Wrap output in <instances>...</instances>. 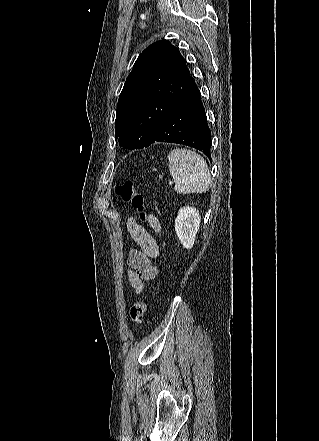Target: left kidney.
I'll return each instance as SVG.
<instances>
[{"label":"left kidney","mask_w":319,"mask_h":441,"mask_svg":"<svg viewBox=\"0 0 319 441\" xmlns=\"http://www.w3.org/2000/svg\"><path fill=\"white\" fill-rule=\"evenodd\" d=\"M200 214L196 208L185 206L179 209L175 219V231L181 244L190 249L195 242L196 234L200 227Z\"/></svg>","instance_id":"5707ae66"}]
</instances>
